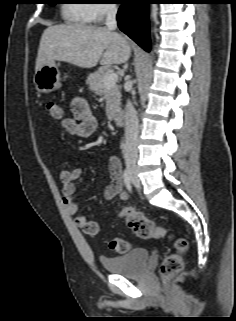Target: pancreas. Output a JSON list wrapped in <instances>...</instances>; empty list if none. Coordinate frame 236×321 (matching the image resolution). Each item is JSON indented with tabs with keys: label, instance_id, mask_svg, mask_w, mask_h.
Instances as JSON below:
<instances>
[{
	"label": "pancreas",
	"instance_id": "obj_1",
	"mask_svg": "<svg viewBox=\"0 0 236 321\" xmlns=\"http://www.w3.org/2000/svg\"><path fill=\"white\" fill-rule=\"evenodd\" d=\"M110 72L108 68H101L94 73H90L86 83L96 95L106 97V115L108 119H113L117 111L120 110L121 95L119 85L106 86L104 84V79Z\"/></svg>",
	"mask_w": 236,
	"mask_h": 321
}]
</instances>
